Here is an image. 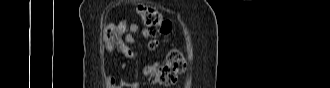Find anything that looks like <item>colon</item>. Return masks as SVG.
Here are the masks:
<instances>
[{
	"label": "colon",
	"instance_id": "colon-1",
	"mask_svg": "<svg viewBox=\"0 0 330 88\" xmlns=\"http://www.w3.org/2000/svg\"><path fill=\"white\" fill-rule=\"evenodd\" d=\"M137 14L140 23L145 27L151 40L148 44L150 49H155L159 45V38L168 35L172 30V22L165 19L161 12L148 6H139ZM125 35L124 22L110 23L103 29V41L110 49L122 43ZM187 61L184 54L179 49L169 51L162 62L149 63L144 68L147 79L156 85L172 86L177 77L186 69Z\"/></svg>",
	"mask_w": 330,
	"mask_h": 88
}]
</instances>
